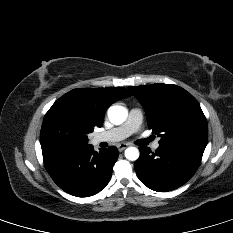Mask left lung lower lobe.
Instances as JSON below:
<instances>
[{"mask_svg":"<svg viewBox=\"0 0 233 233\" xmlns=\"http://www.w3.org/2000/svg\"><path fill=\"white\" fill-rule=\"evenodd\" d=\"M205 147L194 143L160 145L156 152L140 147V157L135 162L137 176L154 191L174 190L194 175Z\"/></svg>","mask_w":233,"mask_h":233,"instance_id":"0a47b994","label":"left lung lower lobe"}]
</instances>
